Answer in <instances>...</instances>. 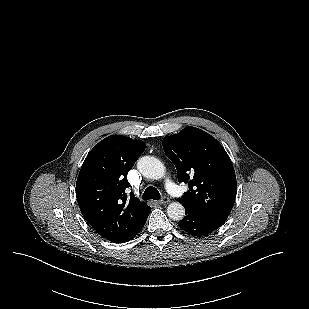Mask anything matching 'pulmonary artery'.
Listing matches in <instances>:
<instances>
[{"label":"pulmonary artery","mask_w":309,"mask_h":309,"mask_svg":"<svg viewBox=\"0 0 309 309\" xmlns=\"http://www.w3.org/2000/svg\"><path fill=\"white\" fill-rule=\"evenodd\" d=\"M168 190L171 192V193H175L176 190H177V186L174 184V183H170L168 185Z\"/></svg>","instance_id":"obj_1"}]
</instances>
